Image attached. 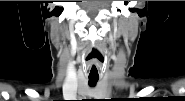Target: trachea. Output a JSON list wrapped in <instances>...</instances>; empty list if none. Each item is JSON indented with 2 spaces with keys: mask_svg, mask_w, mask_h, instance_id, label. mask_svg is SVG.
Wrapping results in <instances>:
<instances>
[{
  "mask_svg": "<svg viewBox=\"0 0 185 101\" xmlns=\"http://www.w3.org/2000/svg\"><path fill=\"white\" fill-rule=\"evenodd\" d=\"M98 80H99L98 68L95 65H92L90 67L89 73V85L91 87L95 86Z\"/></svg>",
  "mask_w": 185,
  "mask_h": 101,
  "instance_id": "3493384b",
  "label": "trachea"
}]
</instances>
